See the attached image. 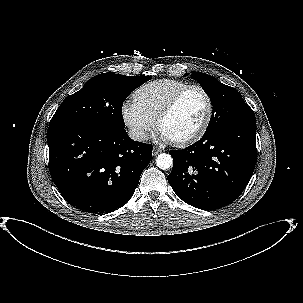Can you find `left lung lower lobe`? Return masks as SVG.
Wrapping results in <instances>:
<instances>
[{
  "mask_svg": "<svg viewBox=\"0 0 303 303\" xmlns=\"http://www.w3.org/2000/svg\"><path fill=\"white\" fill-rule=\"evenodd\" d=\"M169 153L174 163L168 182L177 196L199 209H219L240 196L253 174L256 121L220 127Z\"/></svg>",
  "mask_w": 303,
  "mask_h": 303,
  "instance_id": "1",
  "label": "left lung lower lobe"
}]
</instances>
